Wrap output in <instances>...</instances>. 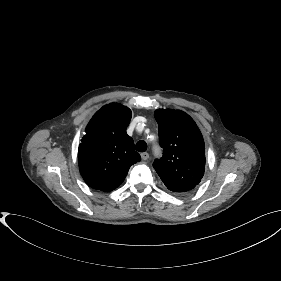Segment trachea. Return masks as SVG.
<instances>
[{
    "label": "trachea",
    "instance_id": "1",
    "mask_svg": "<svg viewBox=\"0 0 281 281\" xmlns=\"http://www.w3.org/2000/svg\"><path fill=\"white\" fill-rule=\"evenodd\" d=\"M136 150L138 152H145L147 150L146 142L143 141V140L138 141L137 144H136Z\"/></svg>",
    "mask_w": 281,
    "mask_h": 281
}]
</instances>
